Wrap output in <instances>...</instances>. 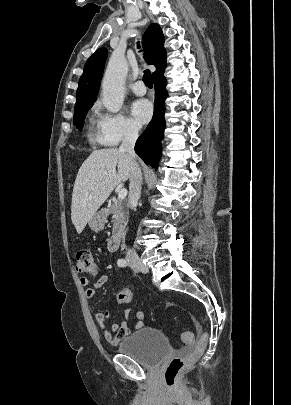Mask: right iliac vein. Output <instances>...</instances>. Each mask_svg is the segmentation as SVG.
I'll return each mask as SVG.
<instances>
[{"mask_svg": "<svg viewBox=\"0 0 291 405\" xmlns=\"http://www.w3.org/2000/svg\"><path fill=\"white\" fill-rule=\"evenodd\" d=\"M132 266L137 270L143 271L145 273L148 272V267L145 264H143L140 260H134L132 262Z\"/></svg>", "mask_w": 291, "mask_h": 405, "instance_id": "1", "label": "right iliac vein"}]
</instances>
